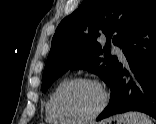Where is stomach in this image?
<instances>
[{
	"mask_svg": "<svg viewBox=\"0 0 156 124\" xmlns=\"http://www.w3.org/2000/svg\"><path fill=\"white\" fill-rule=\"evenodd\" d=\"M109 124H127L126 120L124 119V116H116L110 121H108Z\"/></svg>",
	"mask_w": 156,
	"mask_h": 124,
	"instance_id": "stomach-1",
	"label": "stomach"
}]
</instances>
